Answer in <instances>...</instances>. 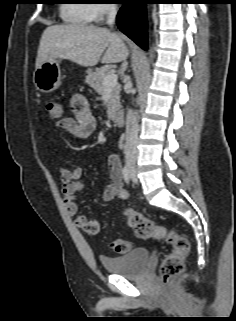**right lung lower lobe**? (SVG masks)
Segmentation results:
<instances>
[{"mask_svg":"<svg viewBox=\"0 0 236 321\" xmlns=\"http://www.w3.org/2000/svg\"><path fill=\"white\" fill-rule=\"evenodd\" d=\"M118 28L143 49H147L146 4L150 0H121Z\"/></svg>","mask_w":236,"mask_h":321,"instance_id":"98d812e1","label":"right lung lower lobe"}]
</instances>
